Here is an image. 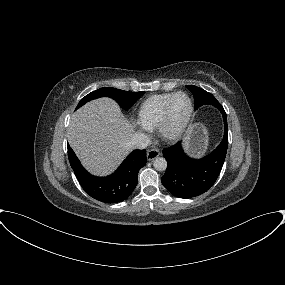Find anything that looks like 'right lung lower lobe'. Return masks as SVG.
Here are the masks:
<instances>
[{"label": "right lung lower lobe", "mask_w": 285, "mask_h": 285, "mask_svg": "<svg viewBox=\"0 0 285 285\" xmlns=\"http://www.w3.org/2000/svg\"><path fill=\"white\" fill-rule=\"evenodd\" d=\"M70 165L84 191L104 203H118L127 199L138 182V172L146 164V150H134L119 168L107 177L89 174L68 145Z\"/></svg>", "instance_id": "right-lung-lower-lobe-1"}]
</instances>
